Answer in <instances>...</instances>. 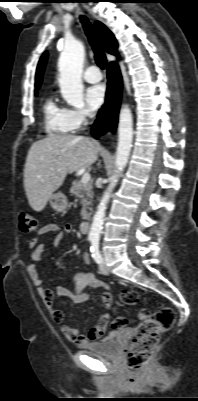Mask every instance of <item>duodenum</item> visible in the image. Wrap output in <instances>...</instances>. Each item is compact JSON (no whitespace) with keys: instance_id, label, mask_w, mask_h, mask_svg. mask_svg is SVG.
<instances>
[{"instance_id":"obj_1","label":"duodenum","mask_w":198,"mask_h":401,"mask_svg":"<svg viewBox=\"0 0 198 401\" xmlns=\"http://www.w3.org/2000/svg\"><path fill=\"white\" fill-rule=\"evenodd\" d=\"M89 227H90V221L89 220L83 221L80 224V231L82 233H87L89 231Z\"/></svg>"}]
</instances>
